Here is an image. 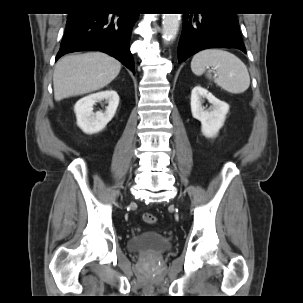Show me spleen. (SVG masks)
<instances>
[{
    "label": "spleen",
    "mask_w": 303,
    "mask_h": 303,
    "mask_svg": "<svg viewBox=\"0 0 303 303\" xmlns=\"http://www.w3.org/2000/svg\"><path fill=\"white\" fill-rule=\"evenodd\" d=\"M208 67L215 68L217 77H213L214 82L229 93H243L250 85L246 65L228 51L206 49L194 55L191 70L195 75H202ZM207 77L212 78L210 73H207Z\"/></svg>",
    "instance_id": "spleen-1"
}]
</instances>
